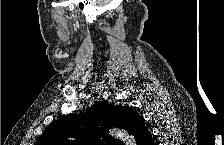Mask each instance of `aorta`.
I'll return each mask as SVG.
<instances>
[{
	"instance_id": "obj_1",
	"label": "aorta",
	"mask_w": 224,
	"mask_h": 145,
	"mask_svg": "<svg viewBox=\"0 0 224 145\" xmlns=\"http://www.w3.org/2000/svg\"><path fill=\"white\" fill-rule=\"evenodd\" d=\"M111 135L121 140L126 145H135V140L133 137L129 136L125 130L114 129L111 131Z\"/></svg>"
}]
</instances>
